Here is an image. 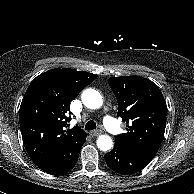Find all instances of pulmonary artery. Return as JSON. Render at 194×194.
<instances>
[{"label":"pulmonary artery","mask_w":194,"mask_h":194,"mask_svg":"<svg viewBox=\"0 0 194 194\" xmlns=\"http://www.w3.org/2000/svg\"><path fill=\"white\" fill-rule=\"evenodd\" d=\"M103 124L108 131H110L111 133L115 135L119 134L121 131L119 124L110 115L106 114L103 117Z\"/></svg>","instance_id":"pulmonary-artery-1"}]
</instances>
